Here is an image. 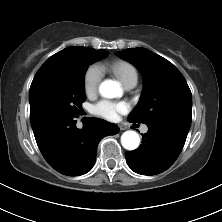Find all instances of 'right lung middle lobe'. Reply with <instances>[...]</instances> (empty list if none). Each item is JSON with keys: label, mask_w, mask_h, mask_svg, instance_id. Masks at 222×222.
I'll return each instance as SVG.
<instances>
[{"label": "right lung middle lobe", "mask_w": 222, "mask_h": 222, "mask_svg": "<svg viewBox=\"0 0 222 222\" xmlns=\"http://www.w3.org/2000/svg\"><path fill=\"white\" fill-rule=\"evenodd\" d=\"M108 52L87 47L50 57L37 71L30 90L32 127L52 116L76 117L85 101L84 75L88 65Z\"/></svg>", "instance_id": "1"}]
</instances>
